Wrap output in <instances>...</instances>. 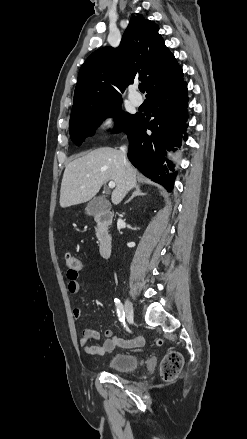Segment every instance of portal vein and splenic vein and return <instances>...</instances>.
Listing matches in <instances>:
<instances>
[{"label":"portal vein and splenic vein","instance_id":"1","mask_svg":"<svg viewBox=\"0 0 247 439\" xmlns=\"http://www.w3.org/2000/svg\"><path fill=\"white\" fill-rule=\"evenodd\" d=\"M108 185H109V188H114L115 187V182L110 181Z\"/></svg>","mask_w":247,"mask_h":439}]
</instances>
